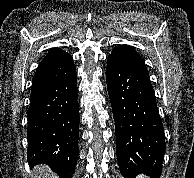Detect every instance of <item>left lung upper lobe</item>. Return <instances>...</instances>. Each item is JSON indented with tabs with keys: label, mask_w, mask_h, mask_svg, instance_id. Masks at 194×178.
I'll return each instance as SVG.
<instances>
[{
	"label": "left lung upper lobe",
	"mask_w": 194,
	"mask_h": 178,
	"mask_svg": "<svg viewBox=\"0 0 194 178\" xmlns=\"http://www.w3.org/2000/svg\"><path fill=\"white\" fill-rule=\"evenodd\" d=\"M109 57H113L124 64L148 74L144 60L139 53L129 45H118L112 50Z\"/></svg>",
	"instance_id": "1"
}]
</instances>
